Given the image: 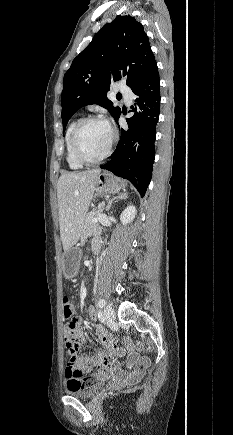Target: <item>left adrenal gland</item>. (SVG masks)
Listing matches in <instances>:
<instances>
[{"instance_id":"1","label":"left adrenal gland","mask_w":233,"mask_h":435,"mask_svg":"<svg viewBox=\"0 0 233 435\" xmlns=\"http://www.w3.org/2000/svg\"><path fill=\"white\" fill-rule=\"evenodd\" d=\"M128 197V193L127 192H122V193H119L118 194V196H115L113 199H111L109 202H108V205H107V210L109 211L110 209H111V206H112V203L115 201V200H122V199H126Z\"/></svg>"}]
</instances>
